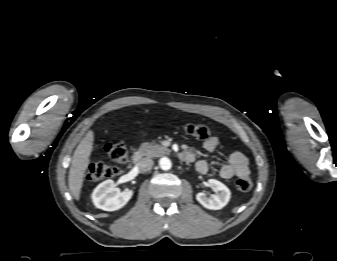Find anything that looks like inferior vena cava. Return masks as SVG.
<instances>
[{
	"instance_id": "1",
	"label": "inferior vena cava",
	"mask_w": 337,
	"mask_h": 261,
	"mask_svg": "<svg viewBox=\"0 0 337 261\" xmlns=\"http://www.w3.org/2000/svg\"><path fill=\"white\" fill-rule=\"evenodd\" d=\"M153 164H154V162H153L152 159L143 158L137 163V166H138L140 171L146 172V171H149L152 168Z\"/></svg>"
}]
</instances>
